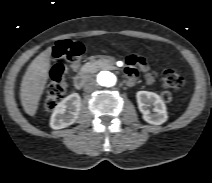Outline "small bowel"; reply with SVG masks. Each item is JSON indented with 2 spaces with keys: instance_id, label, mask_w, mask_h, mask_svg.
Instances as JSON below:
<instances>
[{
  "instance_id": "obj_1",
  "label": "small bowel",
  "mask_w": 212,
  "mask_h": 183,
  "mask_svg": "<svg viewBox=\"0 0 212 183\" xmlns=\"http://www.w3.org/2000/svg\"><path fill=\"white\" fill-rule=\"evenodd\" d=\"M141 71L145 74V80L147 84L151 85L154 82V76L150 72L149 65L143 57L131 55L127 59L126 75L128 81L132 84L138 74Z\"/></svg>"
}]
</instances>
